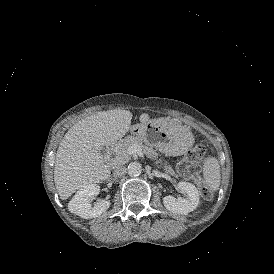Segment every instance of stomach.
<instances>
[{
    "instance_id": "0dacf381",
    "label": "stomach",
    "mask_w": 274,
    "mask_h": 274,
    "mask_svg": "<svg viewBox=\"0 0 274 274\" xmlns=\"http://www.w3.org/2000/svg\"><path fill=\"white\" fill-rule=\"evenodd\" d=\"M177 125L179 124L168 118L148 119L132 125L129 133L165 156H179L192 146V135L189 130L176 134Z\"/></svg>"
}]
</instances>
